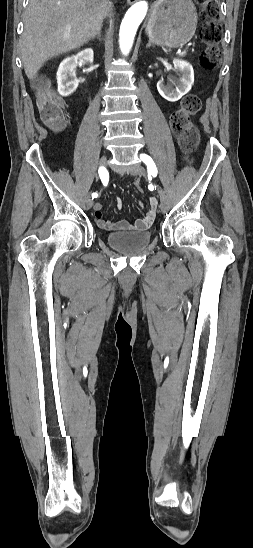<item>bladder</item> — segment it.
Returning <instances> with one entry per match:
<instances>
[{
  "label": "bladder",
  "mask_w": 253,
  "mask_h": 548,
  "mask_svg": "<svg viewBox=\"0 0 253 548\" xmlns=\"http://www.w3.org/2000/svg\"><path fill=\"white\" fill-rule=\"evenodd\" d=\"M152 238L151 232L144 231H115L106 236L107 243L113 249L124 254H136L144 250Z\"/></svg>",
  "instance_id": "obj_1"
}]
</instances>
